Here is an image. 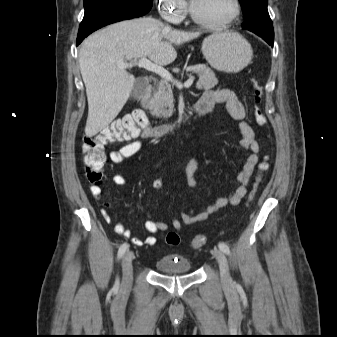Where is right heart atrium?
I'll return each instance as SVG.
<instances>
[{"label":"right heart atrium","mask_w":337,"mask_h":337,"mask_svg":"<svg viewBox=\"0 0 337 337\" xmlns=\"http://www.w3.org/2000/svg\"><path fill=\"white\" fill-rule=\"evenodd\" d=\"M161 15L171 23L180 22L186 11L184 0H155Z\"/></svg>","instance_id":"obj_1"}]
</instances>
